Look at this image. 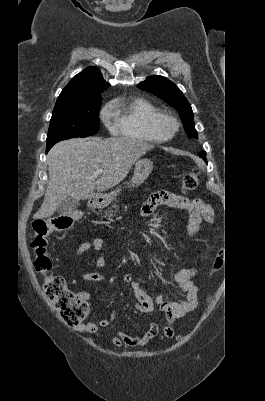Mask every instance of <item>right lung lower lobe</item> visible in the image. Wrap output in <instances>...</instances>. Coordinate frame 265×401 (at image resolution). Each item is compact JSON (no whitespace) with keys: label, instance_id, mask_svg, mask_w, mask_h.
I'll return each instance as SVG.
<instances>
[{"label":"right lung lower lobe","instance_id":"obj_1","mask_svg":"<svg viewBox=\"0 0 265 401\" xmlns=\"http://www.w3.org/2000/svg\"><path fill=\"white\" fill-rule=\"evenodd\" d=\"M50 148H51V147L47 146L46 152H48Z\"/></svg>","mask_w":265,"mask_h":401}]
</instances>
